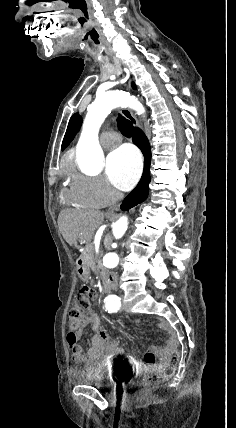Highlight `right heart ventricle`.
<instances>
[{"label": "right heart ventricle", "instance_id": "right-heart-ventricle-1", "mask_svg": "<svg viewBox=\"0 0 236 428\" xmlns=\"http://www.w3.org/2000/svg\"><path fill=\"white\" fill-rule=\"evenodd\" d=\"M67 168H68L69 172H73L75 170V164L73 162H69L67 164Z\"/></svg>", "mask_w": 236, "mask_h": 428}]
</instances>
